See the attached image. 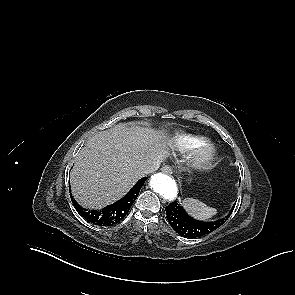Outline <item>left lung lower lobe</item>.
Segmentation results:
<instances>
[{
    "instance_id": "left-lung-lower-lobe-1",
    "label": "left lung lower lobe",
    "mask_w": 295,
    "mask_h": 295,
    "mask_svg": "<svg viewBox=\"0 0 295 295\" xmlns=\"http://www.w3.org/2000/svg\"><path fill=\"white\" fill-rule=\"evenodd\" d=\"M234 207L235 206H233L231 212L224 218L211 222L193 219L177 201H173L166 207V214L168 222L177 233L184 237L197 238L209 234L223 225L231 215Z\"/></svg>"
}]
</instances>
